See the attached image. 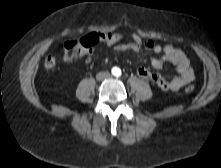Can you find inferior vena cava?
<instances>
[{
    "label": "inferior vena cava",
    "instance_id": "602c4592",
    "mask_svg": "<svg viewBox=\"0 0 221 168\" xmlns=\"http://www.w3.org/2000/svg\"><path fill=\"white\" fill-rule=\"evenodd\" d=\"M109 76V72H99L96 75L97 80H103Z\"/></svg>",
    "mask_w": 221,
    "mask_h": 168
}]
</instances>
